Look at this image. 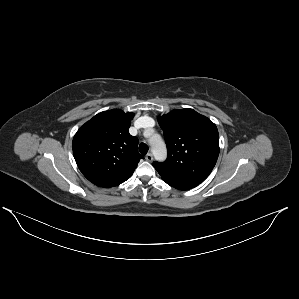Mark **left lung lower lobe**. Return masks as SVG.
<instances>
[{"label": "left lung lower lobe", "mask_w": 299, "mask_h": 299, "mask_svg": "<svg viewBox=\"0 0 299 299\" xmlns=\"http://www.w3.org/2000/svg\"><path fill=\"white\" fill-rule=\"evenodd\" d=\"M164 180V179H163ZM167 184H169L170 186L179 189V190H189L191 188L196 187L199 184H190V183H176V182H170V181H166L164 180Z\"/></svg>", "instance_id": "obj_1"}]
</instances>
